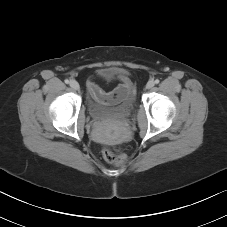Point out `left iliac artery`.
<instances>
[{
    "label": "left iliac artery",
    "mask_w": 227,
    "mask_h": 227,
    "mask_svg": "<svg viewBox=\"0 0 227 227\" xmlns=\"http://www.w3.org/2000/svg\"><path fill=\"white\" fill-rule=\"evenodd\" d=\"M155 83H156V84H158V83H159V80H158V79H156V80H155Z\"/></svg>",
    "instance_id": "obj_1"
}]
</instances>
